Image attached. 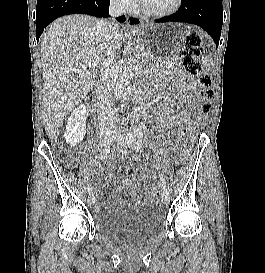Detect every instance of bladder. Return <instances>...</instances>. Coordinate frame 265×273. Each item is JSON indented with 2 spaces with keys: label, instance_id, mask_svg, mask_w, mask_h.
I'll list each match as a JSON object with an SVG mask.
<instances>
[{
  "label": "bladder",
  "instance_id": "obj_1",
  "mask_svg": "<svg viewBox=\"0 0 265 273\" xmlns=\"http://www.w3.org/2000/svg\"><path fill=\"white\" fill-rule=\"evenodd\" d=\"M98 231L109 239L133 246L158 236L164 229L161 209L154 204H129L96 218Z\"/></svg>",
  "mask_w": 265,
  "mask_h": 273
}]
</instances>
